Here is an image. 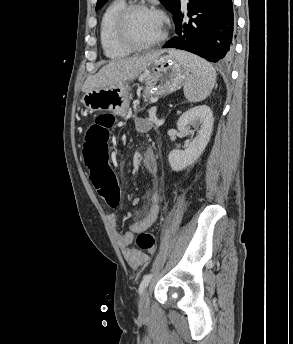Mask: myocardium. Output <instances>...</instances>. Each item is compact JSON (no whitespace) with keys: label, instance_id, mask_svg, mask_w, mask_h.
Segmentation results:
<instances>
[{"label":"myocardium","instance_id":"myocardium-1","mask_svg":"<svg viewBox=\"0 0 293 344\" xmlns=\"http://www.w3.org/2000/svg\"><path fill=\"white\" fill-rule=\"evenodd\" d=\"M149 11L153 12L161 19L162 25H163V31L162 34L155 40L147 43H139L131 38L128 32V21L130 16L136 12V11ZM114 34L116 37V40L124 47L128 48L131 51H145L149 50L151 48H154L163 42L166 41L169 30H168V20L164 13L145 3V2H134L127 4L125 7H123L120 12L118 13L115 23H114Z\"/></svg>","mask_w":293,"mask_h":344}]
</instances>
